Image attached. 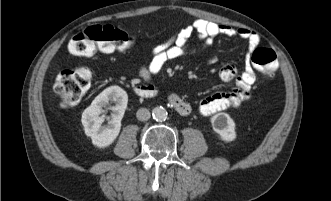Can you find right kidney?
Instances as JSON below:
<instances>
[{
	"label": "right kidney",
	"instance_id": "obj_1",
	"mask_svg": "<svg viewBox=\"0 0 331 201\" xmlns=\"http://www.w3.org/2000/svg\"><path fill=\"white\" fill-rule=\"evenodd\" d=\"M114 103L109 109L111 116L103 125L106 116L103 114L109 103ZM127 93L119 86H111L103 90L82 113V125L85 134L91 138L93 145L105 148L111 145L121 129V120L127 108Z\"/></svg>",
	"mask_w": 331,
	"mask_h": 201
}]
</instances>
